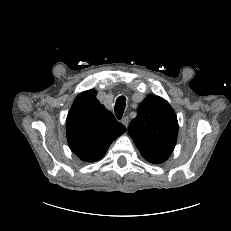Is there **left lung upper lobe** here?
<instances>
[{
    "mask_svg": "<svg viewBox=\"0 0 231 231\" xmlns=\"http://www.w3.org/2000/svg\"><path fill=\"white\" fill-rule=\"evenodd\" d=\"M128 133L148 162H165L173 152L177 135V116L167 101L159 96L148 95L138 107V115Z\"/></svg>",
    "mask_w": 231,
    "mask_h": 231,
    "instance_id": "left-lung-upper-lobe-1",
    "label": "left lung upper lobe"
}]
</instances>
